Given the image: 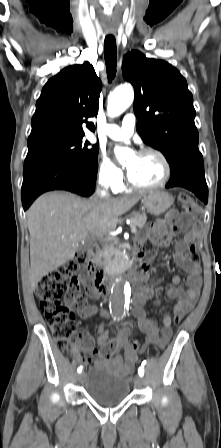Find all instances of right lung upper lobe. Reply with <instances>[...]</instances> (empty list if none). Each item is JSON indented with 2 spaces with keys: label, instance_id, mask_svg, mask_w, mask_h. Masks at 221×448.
Here are the masks:
<instances>
[{
  "label": "right lung upper lobe",
  "instance_id": "1",
  "mask_svg": "<svg viewBox=\"0 0 221 448\" xmlns=\"http://www.w3.org/2000/svg\"><path fill=\"white\" fill-rule=\"evenodd\" d=\"M101 81L93 66L72 65L43 87L32 117L28 148L65 138L84 136L95 126L87 119L98 113Z\"/></svg>",
  "mask_w": 221,
  "mask_h": 448
}]
</instances>
